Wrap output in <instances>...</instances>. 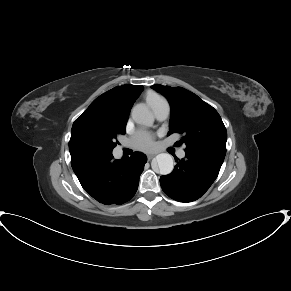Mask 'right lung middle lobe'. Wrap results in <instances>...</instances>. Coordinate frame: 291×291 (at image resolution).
Instances as JSON below:
<instances>
[{
  "mask_svg": "<svg viewBox=\"0 0 291 291\" xmlns=\"http://www.w3.org/2000/svg\"><path fill=\"white\" fill-rule=\"evenodd\" d=\"M118 134H125V128L84 132L79 138V149L83 155L110 154L118 143Z\"/></svg>",
  "mask_w": 291,
  "mask_h": 291,
  "instance_id": "right-lung-middle-lobe-1",
  "label": "right lung middle lobe"
}]
</instances>
